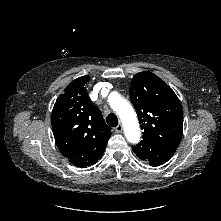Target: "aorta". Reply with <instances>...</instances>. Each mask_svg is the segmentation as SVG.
Segmentation results:
<instances>
[{"mask_svg":"<svg viewBox=\"0 0 221 221\" xmlns=\"http://www.w3.org/2000/svg\"><path fill=\"white\" fill-rule=\"evenodd\" d=\"M114 94L109 98V103L123 123L125 136L129 142L138 143L141 132L136 113L126 99L116 93Z\"/></svg>","mask_w":221,"mask_h":221,"instance_id":"obj_1","label":"aorta"}]
</instances>
